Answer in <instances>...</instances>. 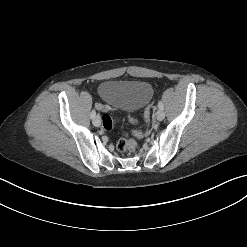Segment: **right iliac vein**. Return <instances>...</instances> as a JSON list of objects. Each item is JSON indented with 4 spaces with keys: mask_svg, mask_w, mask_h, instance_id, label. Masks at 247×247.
Returning a JSON list of instances; mask_svg holds the SVG:
<instances>
[{
    "mask_svg": "<svg viewBox=\"0 0 247 247\" xmlns=\"http://www.w3.org/2000/svg\"><path fill=\"white\" fill-rule=\"evenodd\" d=\"M93 124L96 126V127H99L101 125V118L99 115H97L96 117H94L93 119Z\"/></svg>",
    "mask_w": 247,
    "mask_h": 247,
    "instance_id": "63e3f726",
    "label": "right iliac vein"
}]
</instances>
